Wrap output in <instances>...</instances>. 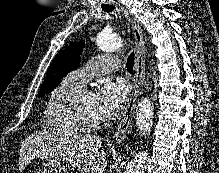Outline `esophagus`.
Instances as JSON below:
<instances>
[{
  "mask_svg": "<svg viewBox=\"0 0 219 173\" xmlns=\"http://www.w3.org/2000/svg\"><path fill=\"white\" fill-rule=\"evenodd\" d=\"M124 13L132 26L135 39L136 59L132 91L115 133V141L119 145L124 142L126 134L131 127L132 116L136 106L137 98L139 96V91L145 79V43L142 29L133 15L126 10H124Z\"/></svg>",
  "mask_w": 219,
  "mask_h": 173,
  "instance_id": "34e87169",
  "label": "esophagus"
}]
</instances>
